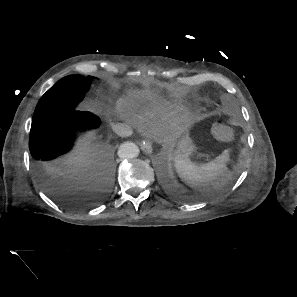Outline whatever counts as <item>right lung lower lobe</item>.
I'll return each instance as SVG.
<instances>
[{"label": "right lung lower lobe", "instance_id": "98d812e1", "mask_svg": "<svg viewBox=\"0 0 297 297\" xmlns=\"http://www.w3.org/2000/svg\"><path fill=\"white\" fill-rule=\"evenodd\" d=\"M78 101L56 108L42 120L33 122L29 137V149L33 167L48 187L55 186V173L66 166L67 154L74 146L77 131L97 129L101 120L89 111L78 109ZM107 147L98 150L97 159L110 169Z\"/></svg>", "mask_w": 297, "mask_h": 297}]
</instances>
